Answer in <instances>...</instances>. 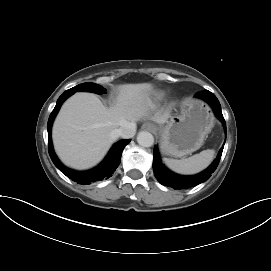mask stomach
<instances>
[{"instance_id": "obj_1", "label": "stomach", "mask_w": 271, "mask_h": 271, "mask_svg": "<svg viewBox=\"0 0 271 271\" xmlns=\"http://www.w3.org/2000/svg\"><path fill=\"white\" fill-rule=\"evenodd\" d=\"M214 126V116L203 101L186 99L180 113L160 125L161 151L173 157H185L198 150Z\"/></svg>"}]
</instances>
